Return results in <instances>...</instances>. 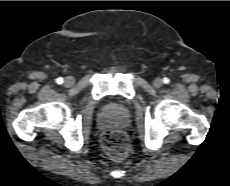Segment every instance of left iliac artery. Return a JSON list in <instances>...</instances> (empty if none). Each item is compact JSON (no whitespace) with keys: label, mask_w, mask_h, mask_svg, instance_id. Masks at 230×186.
<instances>
[{"label":"left iliac artery","mask_w":230,"mask_h":186,"mask_svg":"<svg viewBox=\"0 0 230 186\" xmlns=\"http://www.w3.org/2000/svg\"><path fill=\"white\" fill-rule=\"evenodd\" d=\"M163 82H164L165 84H168V83H170V79L165 77V78L163 79Z\"/></svg>","instance_id":"1"}]
</instances>
